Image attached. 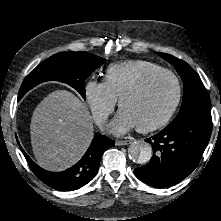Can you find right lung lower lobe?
<instances>
[{
    "label": "right lung lower lobe",
    "instance_id": "right-lung-lower-lobe-1",
    "mask_svg": "<svg viewBox=\"0 0 221 221\" xmlns=\"http://www.w3.org/2000/svg\"><path fill=\"white\" fill-rule=\"evenodd\" d=\"M112 146H114V142L104 135L93 138L82 159L73 167L61 172H51L39 167L22 148L21 150L38 179L51 188L73 191L83 187L95 177L103 152Z\"/></svg>",
    "mask_w": 221,
    "mask_h": 221
}]
</instances>
